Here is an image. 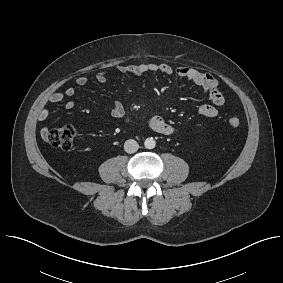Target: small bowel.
Here are the masks:
<instances>
[{
  "instance_id": "c3829d8e",
  "label": "small bowel",
  "mask_w": 283,
  "mask_h": 283,
  "mask_svg": "<svg viewBox=\"0 0 283 283\" xmlns=\"http://www.w3.org/2000/svg\"><path fill=\"white\" fill-rule=\"evenodd\" d=\"M116 71L120 74L143 75L147 73H160L164 75H175L178 78L188 80L193 85L200 87L209 93L211 104H203L199 107V115L205 118H214L218 115V107L225 104V97L219 90L218 80L210 73L200 72L194 68L187 66L173 67L166 63H147V64H129L120 65ZM110 73L108 71H101L96 74V80L99 83H104L108 79ZM88 83L86 76H79L76 79L78 86H85ZM76 94L74 86L67 87L64 92H54L47 100V104H57L63 101L64 97H73ZM75 106V100L71 99L65 103L67 109H72ZM50 111L47 107L40 110L38 119L45 121L48 119ZM111 115L114 118L123 120L125 123H130L131 120L127 116L124 106L121 102H115L111 109ZM148 124L152 130L163 135H173L178 132V127L166 121L160 115H152L148 119ZM47 128L41 129V134L46 136Z\"/></svg>"
}]
</instances>
